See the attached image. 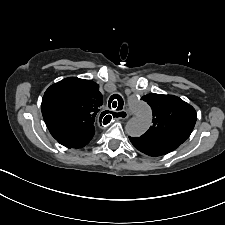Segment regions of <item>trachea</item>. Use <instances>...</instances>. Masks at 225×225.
<instances>
[{
    "label": "trachea",
    "instance_id": "3493384b",
    "mask_svg": "<svg viewBox=\"0 0 225 225\" xmlns=\"http://www.w3.org/2000/svg\"><path fill=\"white\" fill-rule=\"evenodd\" d=\"M109 107L116 108V110H122L123 108V99L119 95H112L108 102ZM113 116L116 117V113H113Z\"/></svg>",
    "mask_w": 225,
    "mask_h": 225
}]
</instances>
